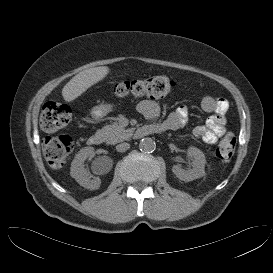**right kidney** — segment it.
<instances>
[{"instance_id":"right-kidney-1","label":"right kidney","mask_w":273,"mask_h":273,"mask_svg":"<svg viewBox=\"0 0 273 273\" xmlns=\"http://www.w3.org/2000/svg\"><path fill=\"white\" fill-rule=\"evenodd\" d=\"M94 156L93 147L82 148L75 156L71 163L70 175L78 182L79 185L87 189H92L95 182L90 180L88 177V172L84 168V161L87 157Z\"/></svg>"}]
</instances>
